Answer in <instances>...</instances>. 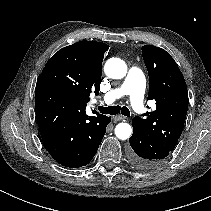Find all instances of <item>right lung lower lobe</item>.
I'll return each instance as SVG.
<instances>
[{
	"label": "right lung lower lobe",
	"instance_id": "1",
	"mask_svg": "<svg viewBox=\"0 0 211 211\" xmlns=\"http://www.w3.org/2000/svg\"><path fill=\"white\" fill-rule=\"evenodd\" d=\"M86 102L61 88L37 82L35 110L43 144L59 164L78 168L95 156L111 118L88 116Z\"/></svg>",
	"mask_w": 211,
	"mask_h": 211
}]
</instances>
